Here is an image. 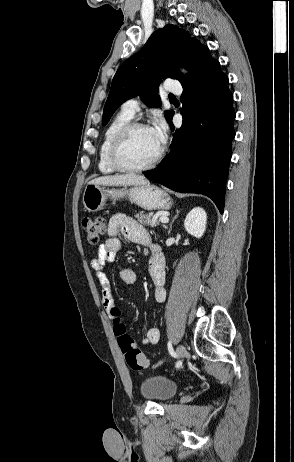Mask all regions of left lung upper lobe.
<instances>
[{"instance_id": "5c2ea615", "label": "left lung upper lobe", "mask_w": 294, "mask_h": 462, "mask_svg": "<svg viewBox=\"0 0 294 462\" xmlns=\"http://www.w3.org/2000/svg\"><path fill=\"white\" fill-rule=\"evenodd\" d=\"M212 60L207 46L175 25L168 24L154 32L144 47L127 59L117 70L104 106L102 125H106L126 100L137 95L150 107L161 106L157 88L162 79H178L181 84L188 78L179 66L189 70L191 78ZM174 112L167 111L170 122Z\"/></svg>"}]
</instances>
